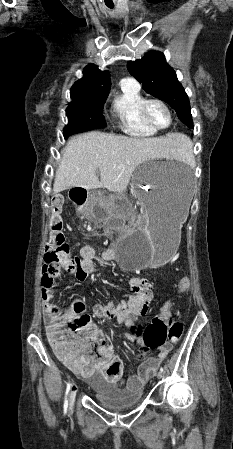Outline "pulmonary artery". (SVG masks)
<instances>
[{
  "label": "pulmonary artery",
  "mask_w": 233,
  "mask_h": 449,
  "mask_svg": "<svg viewBox=\"0 0 233 449\" xmlns=\"http://www.w3.org/2000/svg\"><path fill=\"white\" fill-rule=\"evenodd\" d=\"M121 82L139 86V85L137 84V82H136L134 79H131V78H124V79H122Z\"/></svg>",
  "instance_id": "e3ab8cb5"
}]
</instances>
